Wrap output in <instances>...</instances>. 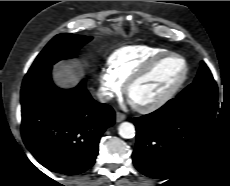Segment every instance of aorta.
I'll list each match as a JSON object with an SVG mask.
<instances>
[{
  "mask_svg": "<svg viewBox=\"0 0 230 186\" xmlns=\"http://www.w3.org/2000/svg\"><path fill=\"white\" fill-rule=\"evenodd\" d=\"M119 135L123 138L129 139L135 136V127L130 122H123L118 128Z\"/></svg>",
  "mask_w": 230,
  "mask_h": 186,
  "instance_id": "aorta-1",
  "label": "aorta"
}]
</instances>
